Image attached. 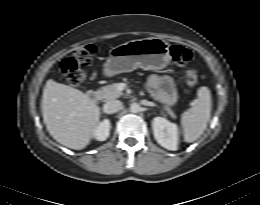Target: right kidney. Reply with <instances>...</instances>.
<instances>
[{"label":"right kidney","mask_w":260,"mask_h":205,"mask_svg":"<svg viewBox=\"0 0 260 205\" xmlns=\"http://www.w3.org/2000/svg\"><path fill=\"white\" fill-rule=\"evenodd\" d=\"M111 123L108 119H104L102 122L98 124L94 131V138L97 141H104L110 135Z\"/></svg>","instance_id":"right-kidney-1"}]
</instances>
